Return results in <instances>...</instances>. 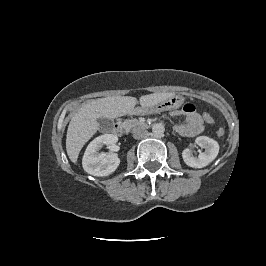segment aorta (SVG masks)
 Wrapping results in <instances>:
<instances>
[{
    "mask_svg": "<svg viewBox=\"0 0 266 266\" xmlns=\"http://www.w3.org/2000/svg\"><path fill=\"white\" fill-rule=\"evenodd\" d=\"M165 127L162 123H156L152 127V132L156 136H161L164 134Z\"/></svg>",
    "mask_w": 266,
    "mask_h": 266,
    "instance_id": "762f6f07",
    "label": "aorta"
}]
</instances>
